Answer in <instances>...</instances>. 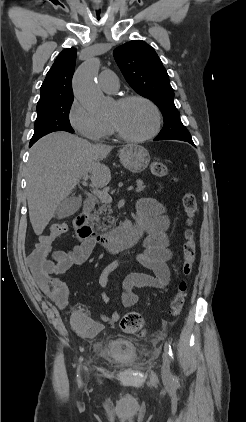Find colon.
I'll return each mask as SVG.
<instances>
[{"mask_svg": "<svg viewBox=\"0 0 246 422\" xmlns=\"http://www.w3.org/2000/svg\"><path fill=\"white\" fill-rule=\"evenodd\" d=\"M150 171L157 177L168 175L167 166L160 162L154 161L150 165ZM182 206L186 213L188 224L191 225L192 219L197 213L198 203L196 196L191 192H185L182 196ZM68 231V227L64 223H54L50 226L49 233L42 235L33 251L28 257L29 267L36 279H43L48 275L51 268L48 255L54 240L63 236ZM183 261L182 273L187 276L191 273L193 263L196 257V239L193 229L188 228L185 232V241L182 247ZM187 290V281L181 280L177 285V290L170 303V313L177 317L183 310L185 304V295ZM121 329L133 336H143L145 334V322L142 316L137 312H129L125 314L120 321Z\"/></svg>", "mask_w": 246, "mask_h": 422, "instance_id": "colon-1", "label": "colon"}]
</instances>
